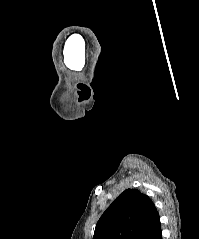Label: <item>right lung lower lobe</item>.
<instances>
[{
    "label": "right lung lower lobe",
    "instance_id": "1",
    "mask_svg": "<svg viewBox=\"0 0 199 239\" xmlns=\"http://www.w3.org/2000/svg\"><path fill=\"white\" fill-rule=\"evenodd\" d=\"M141 239H162L160 221Z\"/></svg>",
    "mask_w": 199,
    "mask_h": 239
}]
</instances>
